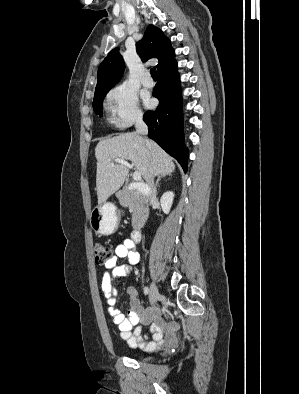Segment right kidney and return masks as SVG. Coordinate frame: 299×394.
I'll list each match as a JSON object with an SVG mask.
<instances>
[{
	"mask_svg": "<svg viewBox=\"0 0 299 394\" xmlns=\"http://www.w3.org/2000/svg\"><path fill=\"white\" fill-rule=\"evenodd\" d=\"M173 199H174V193L172 191H167L161 196L160 204L165 214H168L170 212Z\"/></svg>",
	"mask_w": 299,
	"mask_h": 394,
	"instance_id": "obj_1",
	"label": "right kidney"
}]
</instances>
